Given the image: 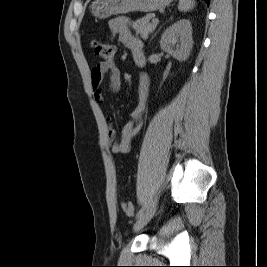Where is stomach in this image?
<instances>
[{"label": "stomach", "instance_id": "obj_1", "mask_svg": "<svg viewBox=\"0 0 267 267\" xmlns=\"http://www.w3.org/2000/svg\"><path fill=\"white\" fill-rule=\"evenodd\" d=\"M173 0H95L89 7L91 14L99 19L131 11L153 12L168 6Z\"/></svg>", "mask_w": 267, "mask_h": 267}]
</instances>
